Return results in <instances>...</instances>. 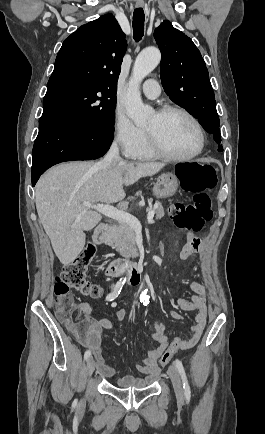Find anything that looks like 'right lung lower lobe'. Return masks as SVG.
<instances>
[{"instance_id":"1","label":"right lung lower lobe","mask_w":265,"mask_h":434,"mask_svg":"<svg viewBox=\"0 0 265 434\" xmlns=\"http://www.w3.org/2000/svg\"><path fill=\"white\" fill-rule=\"evenodd\" d=\"M112 140V133L83 127L56 111L43 112L32 152V185L55 164L103 156Z\"/></svg>"}]
</instances>
